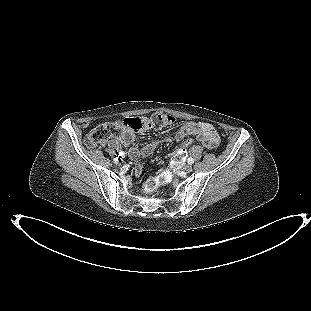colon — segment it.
<instances>
[{
  "mask_svg": "<svg viewBox=\"0 0 311 311\" xmlns=\"http://www.w3.org/2000/svg\"><path fill=\"white\" fill-rule=\"evenodd\" d=\"M175 123V118L165 113H155L151 117H130L122 122H107L93 128L85 137V145L89 148L102 146L107 140L116 137L121 128L129 131H141L150 127H164ZM170 168L158 173L156 177L149 179L145 184V191L153 193L161 185L170 180Z\"/></svg>",
  "mask_w": 311,
  "mask_h": 311,
  "instance_id": "obj_1",
  "label": "colon"
}]
</instances>
